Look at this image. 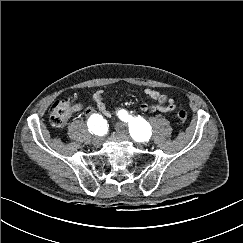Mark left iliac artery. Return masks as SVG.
<instances>
[{
	"label": "left iliac artery",
	"mask_w": 243,
	"mask_h": 243,
	"mask_svg": "<svg viewBox=\"0 0 243 243\" xmlns=\"http://www.w3.org/2000/svg\"><path fill=\"white\" fill-rule=\"evenodd\" d=\"M118 116L121 120L129 123V131L131 136L136 141H144L146 138L145 134H148V124L143 118H135L127 113L126 110H121L118 112Z\"/></svg>",
	"instance_id": "44dca946"
}]
</instances>
